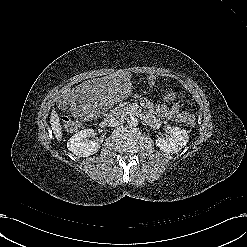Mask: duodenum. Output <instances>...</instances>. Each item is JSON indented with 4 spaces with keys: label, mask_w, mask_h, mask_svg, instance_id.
Masks as SVG:
<instances>
[{
    "label": "duodenum",
    "mask_w": 247,
    "mask_h": 247,
    "mask_svg": "<svg viewBox=\"0 0 247 247\" xmlns=\"http://www.w3.org/2000/svg\"><path fill=\"white\" fill-rule=\"evenodd\" d=\"M142 105H143V103H142ZM143 107H144V106H143ZM144 108H145V107H144ZM132 113H133V114H137V111H136V110H133ZM112 120H115V118H114V117L107 118L104 122H105V123H108V122H111Z\"/></svg>",
    "instance_id": "1"
}]
</instances>
